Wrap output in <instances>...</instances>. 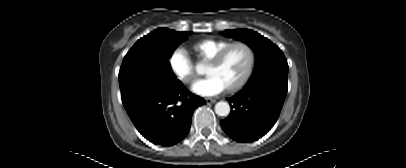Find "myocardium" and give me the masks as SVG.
Wrapping results in <instances>:
<instances>
[{
  "label": "myocardium",
  "instance_id": "f54148a6",
  "mask_svg": "<svg viewBox=\"0 0 406 168\" xmlns=\"http://www.w3.org/2000/svg\"><path fill=\"white\" fill-rule=\"evenodd\" d=\"M238 45L244 46L248 50L249 62H248L247 69H246L245 73L243 74L242 78L236 84L226 88V91L228 93H232V92H236V91L240 90L248 82L249 78L251 77L253 69H254L255 61H256V53H255L253 46L246 41H234V42L229 43L227 46H225L221 50H219L210 60L207 61V65L218 66L222 62V60L225 57V55L227 54V52L231 48L238 46Z\"/></svg>",
  "mask_w": 406,
  "mask_h": 168
}]
</instances>
